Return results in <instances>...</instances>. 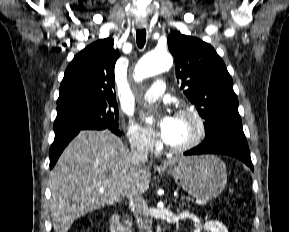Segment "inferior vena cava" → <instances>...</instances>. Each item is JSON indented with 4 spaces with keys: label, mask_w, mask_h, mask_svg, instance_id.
<instances>
[{
    "label": "inferior vena cava",
    "mask_w": 289,
    "mask_h": 232,
    "mask_svg": "<svg viewBox=\"0 0 289 232\" xmlns=\"http://www.w3.org/2000/svg\"><path fill=\"white\" fill-rule=\"evenodd\" d=\"M131 164L141 165L148 161V140L145 136L138 137L131 142V152L129 154ZM129 198V208L133 211L136 224L140 232H152V225L146 213V205L142 193H131Z\"/></svg>",
    "instance_id": "602c4592"
}]
</instances>
